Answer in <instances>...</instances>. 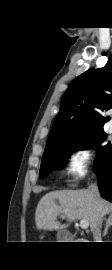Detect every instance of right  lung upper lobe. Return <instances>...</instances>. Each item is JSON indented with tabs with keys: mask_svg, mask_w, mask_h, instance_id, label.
<instances>
[{
	"mask_svg": "<svg viewBox=\"0 0 112 270\" xmlns=\"http://www.w3.org/2000/svg\"><path fill=\"white\" fill-rule=\"evenodd\" d=\"M111 108L112 55L103 68H91L70 84L46 146L69 142L102 128L109 118L105 119L98 111Z\"/></svg>",
	"mask_w": 112,
	"mask_h": 270,
	"instance_id": "1",
	"label": "right lung upper lobe"
}]
</instances>
